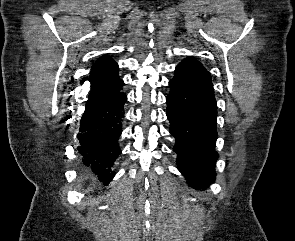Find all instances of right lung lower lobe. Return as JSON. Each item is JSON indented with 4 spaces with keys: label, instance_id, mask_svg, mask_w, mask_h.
I'll list each match as a JSON object with an SVG mask.
<instances>
[{
    "label": "right lung lower lobe",
    "instance_id": "obj_1",
    "mask_svg": "<svg viewBox=\"0 0 295 241\" xmlns=\"http://www.w3.org/2000/svg\"><path fill=\"white\" fill-rule=\"evenodd\" d=\"M123 85L121 80L90 91L77 135L84 165L90 167L104 185L114 177L112 166L121 154L118 139L127 101Z\"/></svg>",
    "mask_w": 295,
    "mask_h": 241
}]
</instances>
